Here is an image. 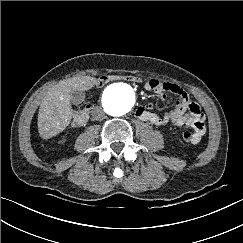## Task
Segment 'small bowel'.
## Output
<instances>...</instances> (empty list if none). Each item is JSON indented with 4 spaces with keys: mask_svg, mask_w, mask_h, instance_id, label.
Segmentation results:
<instances>
[{
    "mask_svg": "<svg viewBox=\"0 0 243 243\" xmlns=\"http://www.w3.org/2000/svg\"><path fill=\"white\" fill-rule=\"evenodd\" d=\"M145 89L154 91L162 99H166V93H172L176 96L175 108L163 115L153 113V104L139 107L137 116L151 123L154 126H165L168 124L181 126L186 125L193 130V144H198L205 135V115L201 111L200 106L193 101L186 91L180 86L170 82L151 79L145 84Z\"/></svg>",
    "mask_w": 243,
    "mask_h": 243,
    "instance_id": "c3829d8e",
    "label": "small bowel"
}]
</instances>
